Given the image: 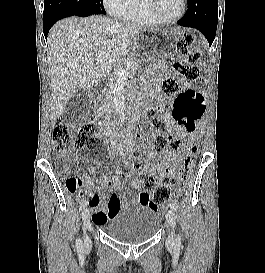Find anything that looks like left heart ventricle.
<instances>
[{"mask_svg":"<svg viewBox=\"0 0 265 273\" xmlns=\"http://www.w3.org/2000/svg\"><path fill=\"white\" fill-rule=\"evenodd\" d=\"M156 8L161 17L173 19L182 11V0H157Z\"/></svg>","mask_w":265,"mask_h":273,"instance_id":"obj_1","label":"left heart ventricle"}]
</instances>
